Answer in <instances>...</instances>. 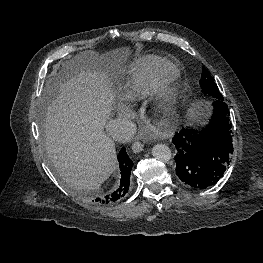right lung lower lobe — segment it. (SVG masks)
Segmentation results:
<instances>
[{
  "instance_id": "98d812e1",
  "label": "right lung lower lobe",
  "mask_w": 263,
  "mask_h": 263,
  "mask_svg": "<svg viewBox=\"0 0 263 263\" xmlns=\"http://www.w3.org/2000/svg\"><path fill=\"white\" fill-rule=\"evenodd\" d=\"M118 160L121 170V184L119 189L114 191L112 194L105 196L104 198H96V202L112 204L121 199L128 191L130 184V172L132 170L133 162L127 155L125 148L120 150Z\"/></svg>"
}]
</instances>
